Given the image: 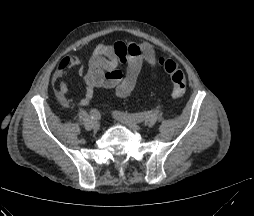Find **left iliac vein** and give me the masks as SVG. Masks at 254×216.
Wrapping results in <instances>:
<instances>
[{"label": "left iliac vein", "instance_id": "1", "mask_svg": "<svg viewBox=\"0 0 254 216\" xmlns=\"http://www.w3.org/2000/svg\"><path fill=\"white\" fill-rule=\"evenodd\" d=\"M114 118L116 120H118L120 123L128 126L129 128H131L133 130H139L140 129V126L136 121H134V120H132V119L126 117V116H121V115L115 114Z\"/></svg>", "mask_w": 254, "mask_h": 216}]
</instances>
